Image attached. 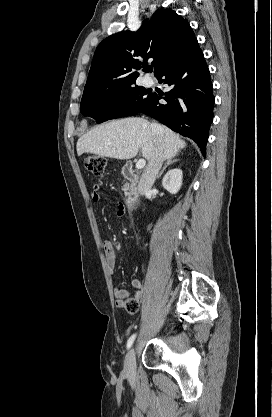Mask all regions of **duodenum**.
<instances>
[{"instance_id": "410a0bca", "label": "duodenum", "mask_w": 272, "mask_h": 417, "mask_svg": "<svg viewBox=\"0 0 272 417\" xmlns=\"http://www.w3.org/2000/svg\"><path fill=\"white\" fill-rule=\"evenodd\" d=\"M122 173L129 181V185L125 190V206L130 209L139 195L138 184L140 181V175L131 163H126L122 167Z\"/></svg>"}]
</instances>
